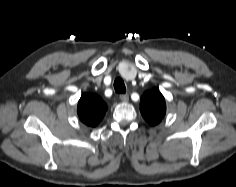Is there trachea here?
Returning <instances> with one entry per match:
<instances>
[{"label":"trachea","mask_w":236,"mask_h":187,"mask_svg":"<svg viewBox=\"0 0 236 187\" xmlns=\"http://www.w3.org/2000/svg\"><path fill=\"white\" fill-rule=\"evenodd\" d=\"M114 89L116 93L124 94L126 92V87L121 78H116L114 81Z\"/></svg>","instance_id":"3493384b"}]
</instances>
